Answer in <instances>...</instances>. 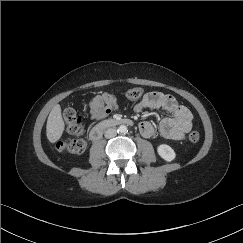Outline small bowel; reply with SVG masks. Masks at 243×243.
<instances>
[{"label": "small bowel", "instance_id": "1", "mask_svg": "<svg viewBox=\"0 0 243 243\" xmlns=\"http://www.w3.org/2000/svg\"><path fill=\"white\" fill-rule=\"evenodd\" d=\"M118 99L115 95L104 92L95 95L89 102L88 114L91 120L97 121L105 118L118 108ZM163 110L168 117L161 120L158 127L149 121L139 125L141 134L146 138L160 135L164 138L179 141L192 129L193 115L185 106L168 94L161 92L146 93L135 105L136 112L144 109Z\"/></svg>", "mask_w": 243, "mask_h": 243}]
</instances>
